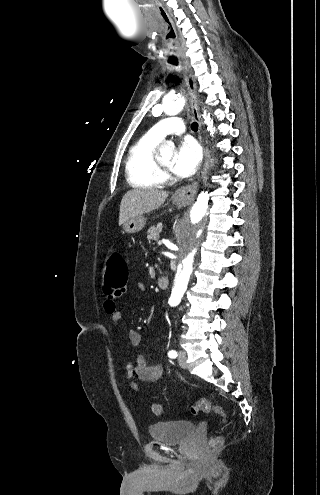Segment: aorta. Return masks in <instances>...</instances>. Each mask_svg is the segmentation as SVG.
<instances>
[{
	"mask_svg": "<svg viewBox=\"0 0 320 495\" xmlns=\"http://www.w3.org/2000/svg\"><path fill=\"white\" fill-rule=\"evenodd\" d=\"M186 105V99L183 96H167L162 101V106H155L153 113L161 110L168 116H175L180 113ZM204 121L207 130L213 136L215 128L209 113H204ZM175 146L173 143L164 144L160 153L172 152ZM217 206L210 199L208 192H201L190 210L181 223L178 225L176 237L179 246V266L174 279L173 289L169 304L177 306L187 290L190 276L193 271V263L198 253L199 244L212 225V219L217 211ZM201 231V233H200ZM200 233V234H199Z\"/></svg>",
	"mask_w": 320,
	"mask_h": 495,
	"instance_id": "aorta-1",
	"label": "aorta"
}]
</instances>
